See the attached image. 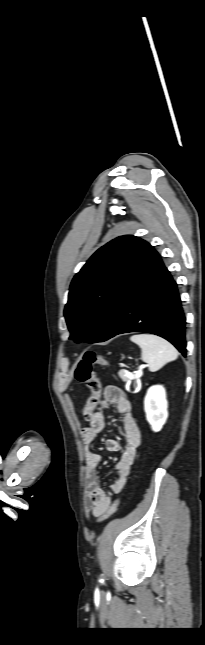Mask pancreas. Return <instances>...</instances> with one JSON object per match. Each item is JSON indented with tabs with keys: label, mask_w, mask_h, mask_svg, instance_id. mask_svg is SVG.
I'll use <instances>...</instances> for the list:
<instances>
[{
	"label": "pancreas",
	"mask_w": 205,
	"mask_h": 645,
	"mask_svg": "<svg viewBox=\"0 0 205 645\" xmlns=\"http://www.w3.org/2000/svg\"><path fill=\"white\" fill-rule=\"evenodd\" d=\"M126 372H127V371H125V370H120V371L118 372V375H119V377L122 379V381H123V382H125V383H127V384H130V383H131V381L133 380L134 376H133V377H129V376H127ZM137 377H138V376H137ZM135 378H136V377H135Z\"/></svg>",
	"instance_id": "1"
}]
</instances>
